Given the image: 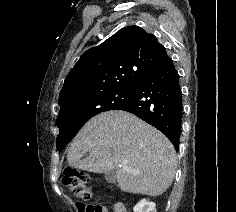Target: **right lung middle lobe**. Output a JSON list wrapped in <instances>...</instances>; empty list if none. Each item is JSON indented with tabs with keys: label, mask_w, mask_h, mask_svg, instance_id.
Here are the masks:
<instances>
[{
	"label": "right lung middle lobe",
	"mask_w": 236,
	"mask_h": 212,
	"mask_svg": "<svg viewBox=\"0 0 236 212\" xmlns=\"http://www.w3.org/2000/svg\"><path fill=\"white\" fill-rule=\"evenodd\" d=\"M137 85L120 87L93 94L60 108L57 126V150L61 152L81 127L93 116L109 110H116L127 103L135 94Z\"/></svg>",
	"instance_id": "obj_1"
}]
</instances>
